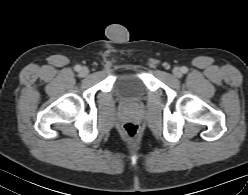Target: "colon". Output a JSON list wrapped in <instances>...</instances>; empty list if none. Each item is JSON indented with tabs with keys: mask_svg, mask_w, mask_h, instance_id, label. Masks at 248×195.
<instances>
[{
	"mask_svg": "<svg viewBox=\"0 0 248 195\" xmlns=\"http://www.w3.org/2000/svg\"><path fill=\"white\" fill-rule=\"evenodd\" d=\"M124 136L129 140H135L139 135V128L135 123L127 122L122 127Z\"/></svg>",
	"mask_w": 248,
	"mask_h": 195,
	"instance_id": "colon-1",
	"label": "colon"
}]
</instances>
